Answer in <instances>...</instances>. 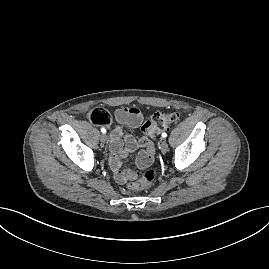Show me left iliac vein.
Returning a JSON list of instances; mask_svg holds the SVG:
<instances>
[{"label": "left iliac vein", "instance_id": "left-iliac-vein-1", "mask_svg": "<svg viewBox=\"0 0 269 269\" xmlns=\"http://www.w3.org/2000/svg\"><path fill=\"white\" fill-rule=\"evenodd\" d=\"M160 150L162 153H166L168 151V144L165 140H161L160 142Z\"/></svg>", "mask_w": 269, "mask_h": 269}]
</instances>
